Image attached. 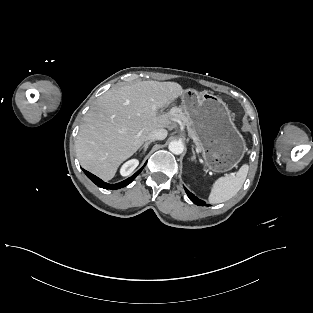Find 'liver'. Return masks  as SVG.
<instances>
[{"mask_svg": "<svg viewBox=\"0 0 313 313\" xmlns=\"http://www.w3.org/2000/svg\"><path fill=\"white\" fill-rule=\"evenodd\" d=\"M175 82L141 81L108 90L84 117L76 139L82 167L101 179L111 180L122 162L144 143L147 135L170 127L178 108L158 110L183 94Z\"/></svg>", "mask_w": 313, "mask_h": 313, "instance_id": "6515ba94", "label": "liver"}]
</instances>
